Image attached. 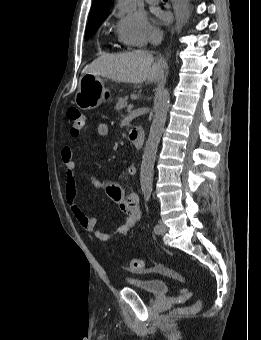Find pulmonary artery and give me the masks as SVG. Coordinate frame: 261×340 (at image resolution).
<instances>
[{
	"instance_id": "pulmonary-artery-1",
	"label": "pulmonary artery",
	"mask_w": 261,
	"mask_h": 340,
	"mask_svg": "<svg viewBox=\"0 0 261 340\" xmlns=\"http://www.w3.org/2000/svg\"><path fill=\"white\" fill-rule=\"evenodd\" d=\"M148 3H150V4H155V3H157L158 2V0H146Z\"/></svg>"
}]
</instances>
